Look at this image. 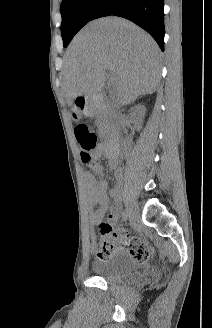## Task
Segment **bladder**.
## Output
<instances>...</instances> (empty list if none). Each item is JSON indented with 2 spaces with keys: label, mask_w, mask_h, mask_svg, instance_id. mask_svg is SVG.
<instances>
[{
  "label": "bladder",
  "mask_w": 212,
  "mask_h": 328,
  "mask_svg": "<svg viewBox=\"0 0 212 328\" xmlns=\"http://www.w3.org/2000/svg\"><path fill=\"white\" fill-rule=\"evenodd\" d=\"M92 270L96 276L116 284H135L142 278L138 265L121 256L95 261Z\"/></svg>",
  "instance_id": "1"
}]
</instances>
